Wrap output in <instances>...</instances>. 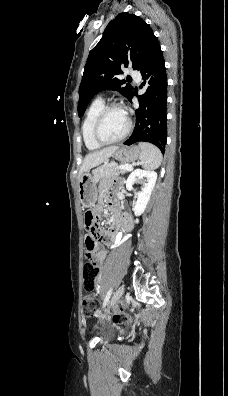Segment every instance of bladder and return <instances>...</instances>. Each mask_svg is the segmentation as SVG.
Masks as SVG:
<instances>
[{
  "mask_svg": "<svg viewBox=\"0 0 228 396\" xmlns=\"http://www.w3.org/2000/svg\"><path fill=\"white\" fill-rule=\"evenodd\" d=\"M113 329L112 328H105L101 331V337L102 338H110L113 336Z\"/></svg>",
  "mask_w": 228,
  "mask_h": 396,
  "instance_id": "31cf9c89",
  "label": "bladder"
}]
</instances>
